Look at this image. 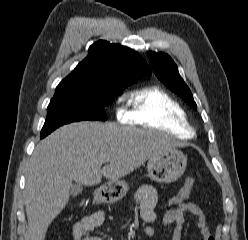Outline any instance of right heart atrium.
<instances>
[{
  "label": "right heart atrium",
  "instance_id": "obj_1",
  "mask_svg": "<svg viewBox=\"0 0 248 240\" xmlns=\"http://www.w3.org/2000/svg\"><path fill=\"white\" fill-rule=\"evenodd\" d=\"M117 117L121 120H125L127 117V111L121 107L116 110Z\"/></svg>",
  "mask_w": 248,
  "mask_h": 240
}]
</instances>
